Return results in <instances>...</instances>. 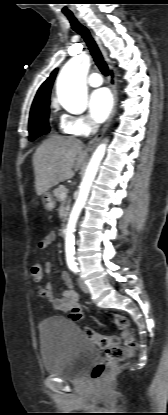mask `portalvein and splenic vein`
Wrapping results in <instances>:
<instances>
[{
	"mask_svg": "<svg viewBox=\"0 0 168 415\" xmlns=\"http://www.w3.org/2000/svg\"><path fill=\"white\" fill-rule=\"evenodd\" d=\"M66 192H62L61 194H60V197L63 199V198H66Z\"/></svg>",
	"mask_w": 168,
	"mask_h": 415,
	"instance_id": "18ae733b",
	"label": "portal vein and splenic vein"
}]
</instances>
